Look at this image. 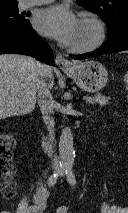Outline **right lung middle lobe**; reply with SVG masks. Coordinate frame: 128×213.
<instances>
[{
	"label": "right lung middle lobe",
	"mask_w": 128,
	"mask_h": 213,
	"mask_svg": "<svg viewBox=\"0 0 128 213\" xmlns=\"http://www.w3.org/2000/svg\"><path fill=\"white\" fill-rule=\"evenodd\" d=\"M19 13L18 5L0 7V25L16 26L28 22L29 15Z\"/></svg>",
	"instance_id": "dd1d6c3e"
}]
</instances>
